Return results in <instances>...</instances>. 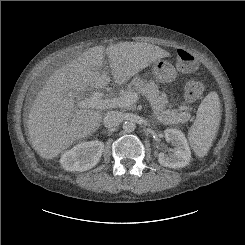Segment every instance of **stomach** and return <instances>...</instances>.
I'll return each instance as SVG.
<instances>
[{
  "label": "stomach",
  "instance_id": "obj_1",
  "mask_svg": "<svg viewBox=\"0 0 245 245\" xmlns=\"http://www.w3.org/2000/svg\"><path fill=\"white\" fill-rule=\"evenodd\" d=\"M152 70L155 79L159 82H172L176 78L174 66L165 60H156Z\"/></svg>",
  "mask_w": 245,
  "mask_h": 245
}]
</instances>
